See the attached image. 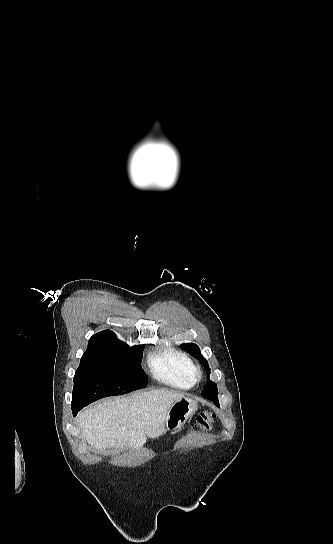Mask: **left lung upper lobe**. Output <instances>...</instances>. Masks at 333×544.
<instances>
[{
  "label": "left lung upper lobe",
  "mask_w": 333,
  "mask_h": 544,
  "mask_svg": "<svg viewBox=\"0 0 333 544\" xmlns=\"http://www.w3.org/2000/svg\"><path fill=\"white\" fill-rule=\"evenodd\" d=\"M181 347L184 350H186L190 355H192L193 357L199 359V361L206 368L207 373L208 374L210 373V368L208 366V363H207L206 359L203 358V356L200 354L199 348H198V346L196 344L188 343V344L181 345ZM216 392H217V384L208 379L207 383H206V386L204 387V389L201 392V396H203L204 394L216 393Z\"/></svg>",
  "instance_id": "5c2ea615"
}]
</instances>
